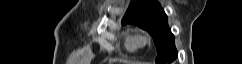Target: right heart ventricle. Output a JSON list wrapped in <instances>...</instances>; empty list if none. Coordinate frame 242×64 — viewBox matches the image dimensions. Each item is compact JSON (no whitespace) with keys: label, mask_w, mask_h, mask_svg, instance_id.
<instances>
[{"label":"right heart ventricle","mask_w":242,"mask_h":64,"mask_svg":"<svg viewBox=\"0 0 242 64\" xmlns=\"http://www.w3.org/2000/svg\"><path fill=\"white\" fill-rule=\"evenodd\" d=\"M124 46L129 51H135L138 47L137 37L134 34H126Z\"/></svg>","instance_id":"right-heart-ventricle-1"}]
</instances>
